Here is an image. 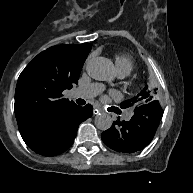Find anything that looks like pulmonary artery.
Returning a JSON list of instances; mask_svg holds the SVG:
<instances>
[{"mask_svg":"<svg viewBox=\"0 0 193 193\" xmlns=\"http://www.w3.org/2000/svg\"><path fill=\"white\" fill-rule=\"evenodd\" d=\"M102 91V85L100 83H91L87 86H80L74 92L73 96H81V97H95L100 94ZM130 114L127 113L125 118H129Z\"/></svg>","mask_w":193,"mask_h":193,"instance_id":"1","label":"pulmonary artery"}]
</instances>
